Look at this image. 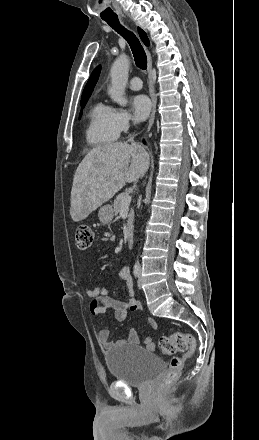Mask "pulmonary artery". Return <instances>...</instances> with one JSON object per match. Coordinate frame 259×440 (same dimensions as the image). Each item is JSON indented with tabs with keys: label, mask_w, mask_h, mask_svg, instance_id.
Masks as SVG:
<instances>
[{
	"label": "pulmonary artery",
	"mask_w": 259,
	"mask_h": 440,
	"mask_svg": "<svg viewBox=\"0 0 259 440\" xmlns=\"http://www.w3.org/2000/svg\"><path fill=\"white\" fill-rule=\"evenodd\" d=\"M129 87L132 90H140L142 88V81L139 77H133L129 81Z\"/></svg>",
	"instance_id": "e3ab8cb5"
}]
</instances>
